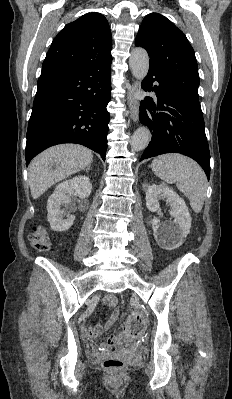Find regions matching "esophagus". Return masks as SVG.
Masks as SVG:
<instances>
[{"mask_svg": "<svg viewBox=\"0 0 232 399\" xmlns=\"http://www.w3.org/2000/svg\"><path fill=\"white\" fill-rule=\"evenodd\" d=\"M140 89H141L140 83L134 82L132 83L127 94V102L130 109V117L134 122L138 120V115H139V102L135 98V93Z\"/></svg>", "mask_w": 232, "mask_h": 399, "instance_id": "obj_1", "label": "esophagus"}]
</instances>
